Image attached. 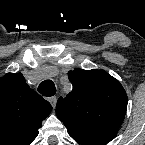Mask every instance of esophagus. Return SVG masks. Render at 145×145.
<instances>
[{
  "label": "esophagus",
  "mask_w": 145,
  "mask_h": 145,
  "mask_svg": "<svg viewBox=\"0 0 145 145\" xmlns=\"http://www.w3.org/2000/svg\"><path fill=\"white\" fill-rule=\"evenodd\" d=\"M49 102L52 105L53 109H55L56 103H57V98L55 96H52L49 98Z\"/></svg>",
  "instance_id": "obj_1"
}]
</instances>
